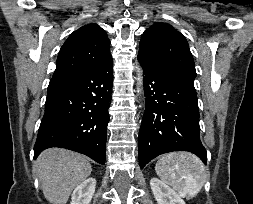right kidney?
Masks as SVG:
<instances>
[{"instance_id":"1","label":"right kidney","mask_w":253,"mask_h":204,"mask_svg":"<svg viewBox=\"0 0 253 204\" xmlns=\"http://www.w3.org/2000/svg\"><path fill=\"white\" fill-rule=\"evenodd\" d=\"M95 188L96 179L88 178L84 180L73 191L70 204H90Z\"/></svg>"}]
</instances>
